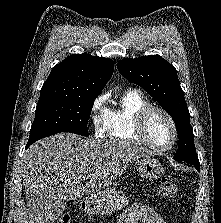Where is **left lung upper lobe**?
<instances>
[{
    "mask_svg": "<svg viewBox=\"0 0 221 223\" xmlns=\"http://www.w3.org/2000/svg\"><path fill=\"white\" fill-rule=\"evenodd\" d=\"M119 72L146 90L173 118L179 137L175 160L200 165L194 145L190 114L175 67L159 55L123 59Z\"/></svg>",
    "mask_w": 221,
    "mask_h": 223,
    "instance_id": "left-lung-upper-lobe-1",
    "label": "left lung upper lobe"
}]
</instances>
